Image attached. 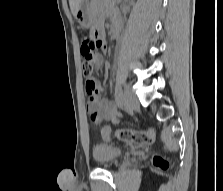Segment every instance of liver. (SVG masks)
<instances>
[{"label": "liver", "instance_id": "liver-1", "mask_svg": "<svg viewBox=\"0 0 223 191\" xmlns=\"http://www.w3.org/2000/svg\"><path fill=\"white\" fill-rule=\"evenodd\" d=\"M83 0H69V5L73 16H76V13L80 6L82 5Z\"/></svg>", "mask_w": 223, "mask_h": 191}]
</instances>
